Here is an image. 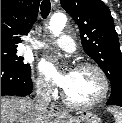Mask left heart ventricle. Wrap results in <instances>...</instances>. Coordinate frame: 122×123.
<instances>
[{
	"label": "left heart ventricle",
	"instance_id": "left-heart-ventricle-1",
	"mask_svg": "<svg viewBox=\"0 0 122 123\" xmlns=\"http://www.w3.org/2000/svg\"><path fill=\"white\" fill-rule=\"evenodd\" d=\"M102 80L90 68L71 71L69 84L64 89L67 96L77 102H87L97 98L102 92Z\"/></svg>",
	"mask_w": 122,
	"mask_h": 123
}]
</instances>
